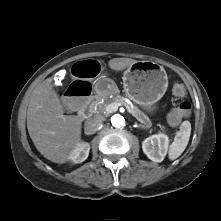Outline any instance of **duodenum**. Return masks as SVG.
I'll use <instances>...</instances> for the list:
<instances>
[{
    "mask_svg": "<svg viewBox=\"0 0 221 221\" xmlns=\"http://www.w3.org/2000/svg\"><path fill=\"white\" fill-rule=\"evenodd\" d=\"M89 112V107L87 106L85 109L79 110L78 114L81 118H86L89 115Z\"/></svg>",
    "mask_w": 221,
    "mask_h": 221,
    "instance_id": "duodenum-1",
    "label": "duodenum"
}]
</instances>
